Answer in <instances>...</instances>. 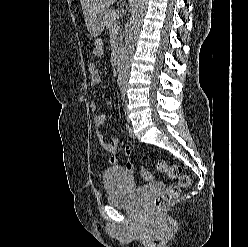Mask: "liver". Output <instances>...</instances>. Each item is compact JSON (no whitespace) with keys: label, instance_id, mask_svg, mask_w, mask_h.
<instances>
[{"label":"liver","instance_id":"obj_1","mask_svg":"<svg viewBox=\"0 0 248 247\" xmlns=\"http://www.w3.org/2000/svg\"><path fill=\"white\" fill-rule=\"evenodd\" d=\"M115 1L116 0H80L88 30L95 19H97L102 13L107 12V9Z\"/></svg>","mask_w":248,"mask_h":247}]
</instances>
